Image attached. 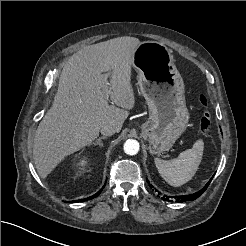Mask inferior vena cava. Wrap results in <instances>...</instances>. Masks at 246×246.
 <instances>
[{"instance_id":"obj_1","label":"inferior vena cava","mask_w":246,"mask_h":246,"mask_svg":"<svg viewBox=\"0 0 246 246\" xmlns=\"http://www.w3.org/2000/svg\"><path fill=\"white\" fill-rule=\"evenodd\" d=\"M116 133V128L110 124H105L101 128V134L105 136H111Z\"/></svg>"}]
</instances>
